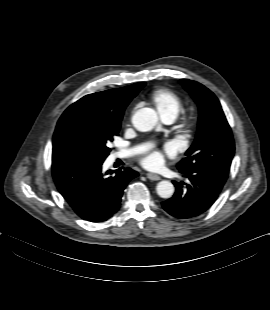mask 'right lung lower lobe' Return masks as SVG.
Segmentation results:
<instances>
[{"instance_id": "98d812e1", "label": "right lung lower lobe", "mask_w": 270, "mask_h": 310, "mask_svg": "<svg viewBox=\"0 0 270 310\" xmlns=\"http://www.w3.org/2000/svg\"><path fill=\"white\" fill-rule=\"evenodd\" d=\"M102 163L75 159L52 163L57 189L73 211L90 222L111 218L120 207L128 182L138 176L130 168L109 170L103 174Z\"/></svg>"}]
</instances>
